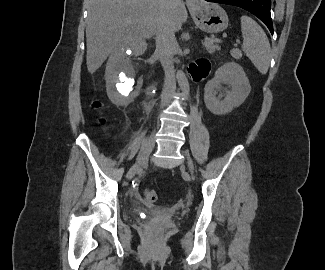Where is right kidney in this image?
<instances>
[{
    "instance_id": "obj_1",
    "label": "right kidney",
    "mask_w": 325,
    "mask_h": 270,
    "mask_svg": "<svg viewBox=\"0 0 325 270\" xmlns=\"http://www.w3.org/2000/svg\"><path fill=\"white\" fill-rule=\"evenodd\" d=\"M140 55L128 44L119 45L110 55L106 71V90L112 103L120 106L130 104L139 94L143 85L144 66L134 63ZM138 77V78H137Z\"/></svg>"
}]
</instances>
